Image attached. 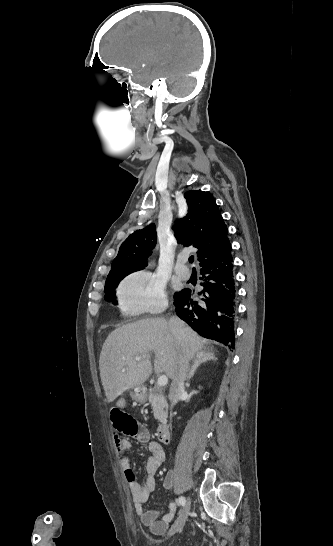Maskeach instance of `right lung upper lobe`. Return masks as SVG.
<instances>
[{
  "label": "right lung upper lobe",
  "mask_w": 333,
  "mask_h": 546,
  "mask_svg": "<svg viewBox=\"0 0 333 546\" xmlns=\"http://www.w3.org/2000/svg\"><path fill=\"white\" fill-rule=\"evenodd\" d=\"M185 199L188 213L173 227L175 236L179 243L198 248L200 264L208 263L229 245L228 229L212 195L191 190L185 193ZM156 241L154 224L132 233L120 246L110 272L143 269Z\"/></svg>",
  "instance_id": "1"
}]
</instances>
